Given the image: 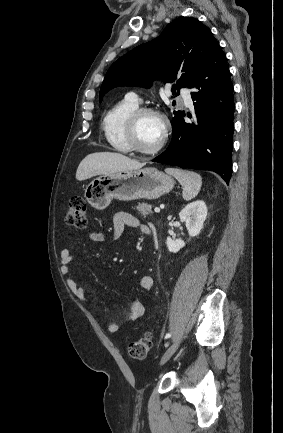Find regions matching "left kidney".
I'll return each instance as SVG.
<instances>
[{"mask_svg":"<svg viewBox=\"0 0 283 433\" xmlns=\"http://www.w3.org/2000/svg\"><path fill=\"white\" fill-rule=\"evenodd\" d=\"M180 219L185 222L190 237L197 236L202 228L207 217V206L204 201L197 200L189 203L179 213ZM166 245L170 252L177 253L185 246V242L181 239H171L167 237Z\"/></svg>","mask_w":283,"mask_h":433,"instance_id":"left-kidney-1","label":"left kidney"}]
</instances>
